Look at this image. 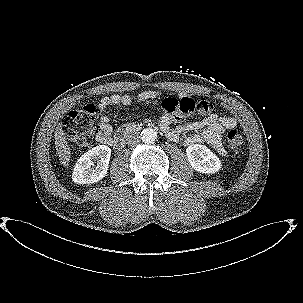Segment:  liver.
Masks as SVG:
<instances>
[{
  "label": "liver",
  "mask_w": 303,
  "mask_h": 303,
  "mask_svg": "<svg viewBox=\"0 0 303 303\" xmlns=\"http://www.w3.org/2000/svg\"><path fill=\"white\" fill-rule=\"evenodd\" d=\"M54 136H55V148L57 151L56 154L59 157L60 163L64 167H68L71 158V151L65 133L63 132L61 122L58 123Z\"/></svg>",
  "instance_id": "1"
}]
</instances>
